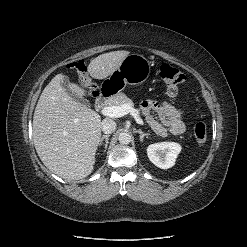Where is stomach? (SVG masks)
Segmentation results:
<instances>
[{
    "label": "stomach",
    "mask_w": 247,
    "mask_h": 247,
    "mask_svg": "<svg viewBox=\"0 0 247 247\" xmlns=\"http://www.w3.org/2000/svg\"><path fill=\"white\" fill-rule=\"evenodd\" d=\"M151 71V62L140 54H130L123 59L119 67L105 79L102 89L111 94L119 93L127 84L136 85L145 82Z\"/></svg>",
    "instance_id": "obj_1"
}]
</instances>
